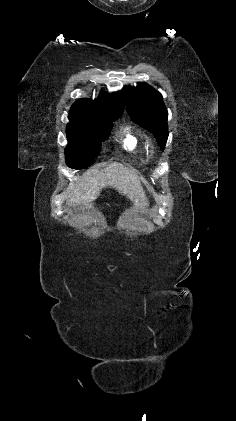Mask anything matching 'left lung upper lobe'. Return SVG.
<instances>
[{"instance_id":"obj_1","label":"left lung upper lobe","mask_w":236,"mask_h":421,"mask_svg":"<svg viewBox=\"0 0 236 421\" xmlns=\"http://www.w3.org/2000/svg\"><path fill=\"white\" fill-rule=\"evenodd\" d=\"M122 93L131 119L153 132L161 150H164L168 138V112L162 95L146 83H139L136 87L125 86Z\"/></svg>"}]
</instances>
